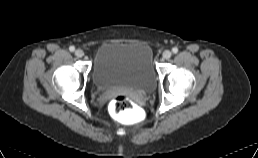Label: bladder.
Returning <instances> with one entry per match:
<instances>
[{"label":"bladder","instance_id":"1","mask_svg":"<svg viewBox=\"0 0 258 158\" xmlns=\"http://www.w3.org/2000/svg\"><path fill=\"white\" fill-rule=\"evenodd\" d=\"M92 79L102 90L125 87L143 93L156 85L153 52L144 43L107 42L94 55Z\"/></svg>","mask_w":258,"mask_h":158}]
</instances>
